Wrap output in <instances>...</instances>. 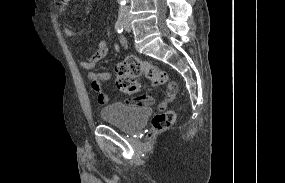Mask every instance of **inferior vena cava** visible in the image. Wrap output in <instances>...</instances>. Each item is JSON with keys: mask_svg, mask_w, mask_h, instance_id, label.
Returning a JSON list of instances; mask_svg holds the SVG:
<instances>
[{"mask_svg": "<svg viewBox=\"0 0 285 183\" xmlns=\"http://www.w3.org/2000/svg\"><path fill=\"white\" fill-rule=\"evenodd\" d=\"M120 15L128 16L129 15V7L127 5L120 6Z\"/></svg>", "mask_w": 285, "mask_h": 183, "instance_id": "obj_1", "label": "inferior vena cava"}]
</instances>
